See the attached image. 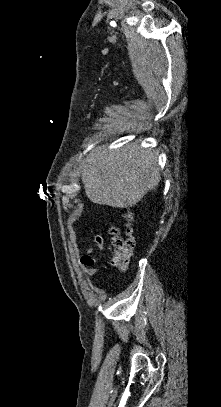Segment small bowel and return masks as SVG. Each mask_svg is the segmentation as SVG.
<instances>
[{
  "label": "small bowel",
  "mask_w": 221,
  "mask_h": 407,
  "mask_svg": "<svg viewBox=\"0 0 221 407\" xmlns=\"http://www.w3.org/2000/svg\"><path fill=\"white\" fill-rule=\"evenodd\" d=\"M93 240L96 244L98 250L102 251L104 249V240L99 235H94ZM97 262V257L93 255L92 247H86L81 258H80V268L89 277H94L102 273L101 269L95 267Z\"/></svg>",
  "instance_id": "obj_1"
}]
</instances>
